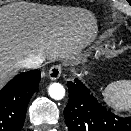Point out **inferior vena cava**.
<instances>
[{
  "label": "inferior vena cava",
  "mask_w": 131,
  "mask_h": 131,
  "mask_svg": "<svg viewBox=\"0 0 131 131\" xmlns=\"http://www.w3.org/2000/svg\"><path fill=\"white\" fill-rule=\"evenodd\" d=\"M44 61V57L40 55H34L18 62L19 67L23 68H37L39 67Z\"/></svg>",
  "instance_id": "602c4592"
}]
</instances>
